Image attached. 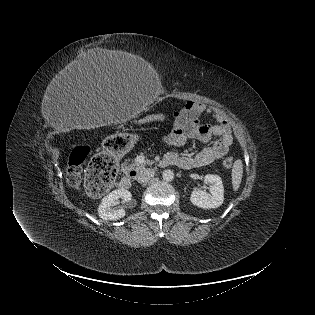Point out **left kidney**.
I'll return each mask as SVG.
<instances>
[{"mask_svg": "<svg viewBox=\"0 0 315 315\" xmlns=\"http://www.w3.org/2000/svg\"><path fill=\"white\" fill-rule=\"evenodd\" d=\"M204 181L209 184V192L194 190L191 192L190 201L199 208L212 209L220 207L224 201V187L221 177L207 174Z\"/></svg>", "mask_w": 315, "mask_h": 315, "instance_id": "left-kidney-1", "label": "left kidney"}]
</instances>
